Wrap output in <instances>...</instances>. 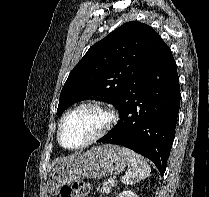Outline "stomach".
Instances as JSON below:
<instances>
[{
    "label": "stomach",
    "instance_id": "obj_1",
    "mask_svg": "<svg viewBox=\"0 0 209 197\" xmlns=\"http://www.w3.org/2000/svg\"><path fill=\"white\" fill-rule=\"evenodd\" d=\"M127 159L122 149L105 144L56 166L47 181L48 192L57 195L64 185L83 178H102L124 170Z\"/></svg>",
    "mask_w": 209,
    "mask_h": 197
}]
</instances>
